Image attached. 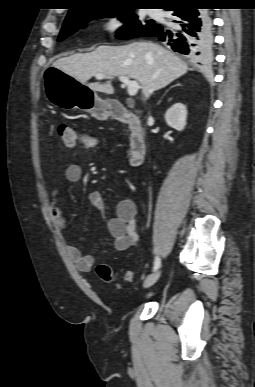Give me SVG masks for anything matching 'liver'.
Listing matches in <instances>:
<instances>
[{
	"mask_svg": "<svg viewBox=\"0 0 255 387\" xmlns=\"http://www.w3.org/2000/svg\"><path fill=\"white\" fill-rule=\"evenodd\" d=\"M53 66L93 91L113 94L111 79L124 76L139 82L148 98L183 76L187 64L172 52L152 42H134L124 46L101 45L90 53H76L59 58ZM104 74L105 83H88L91 77Z\"/></svg>",
	"mask_w": 255,
	"mask_h": 387,
	"instance_id": "obj_1",
	"label": "liver"
}]
</instances>
